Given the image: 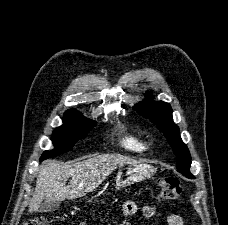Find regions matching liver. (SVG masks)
<instances>
[{
	"mask_svg": "<svg viewBox=\"0 0 228 225\" xmlns=\"http://www.w3.org/2000/svg\"><path fill=\"white\" fill-rule=\"evenodd\" d=\"M136 163L134 159L123 155H99L81 163H66L46 161L39 171L34 195L29 205V213L38 211L42 201H64V199H80L87 193L97 189L108 175L124 165ZM72 181L66 185L67 179Z\"/></svg>",
	"mask_w": 228,
	"mask_h": 225,
	"instance_id": "1",
	"label": "liver"
}]
</instances>
